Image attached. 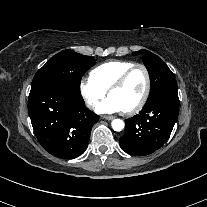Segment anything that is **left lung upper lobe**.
Returning <instances> with one entry per match:
<instances>
[{
    "mask_svg": "<svg viewBox=\"0 0 207 207\" xmlns=\"http://www.w3.org/2000/svg\"><path fill=\"white\" fill-rule=\"evenodd\" d=\"M133 55H143V62L150 74L151 93L148 100L161 92L177 90L175 75L157 55L147 50L134 52Z\"/></svg>",
    "mask_w": 207,
    "mask_h": 207,
    "instance_id": "left-lung-upper-lobe-1",
    "label": "left lung upper lobe"
}]
</instances>
